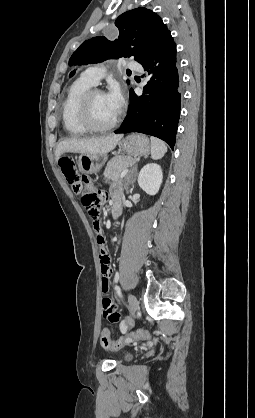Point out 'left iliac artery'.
Here are the masks:
<instances>
[{
  "instance_id": "left-iliac-artery-1",
  "label": "left iliac artery",
  "mask_w": 255,
  "mask_h": 418,
  "mask_svg": "<svg viewBox=\"0 0 255 418\" xmlns=\"http://www.w3.org/2000/svg\"><path fill=\"white\" fill-rule=\"evenodd\" d=\"M115 290L118 295H121V289L119 286L115 285Z\"/></svg>"
}]
</instances>
